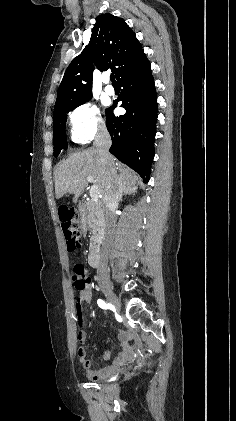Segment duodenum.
I'll use <instances>...</instances> for the list:
<instances>
[{
  "label": "duodenum",
  "mask_w": 236,
  "mask_h": 421,
  "mask_svg": "<svg viewBox=\"0 0 236 421\" xmlns=\"http://www.w3.org/2000/svg\"><path fill=\"white\" fill-rule=\"evenodd\" d=\"M83 211V204L80 203L77 207V212L79 214V216H81ZM89 263L92 267L97 268L100 265V255H99V251L96 248H93L90 253H89ZM123 345V353L121 355H119L114 363L109 366V367H105L99 370H94V371H89L88 372V376L90 378L93 379H98V378H105L107 376H110L112 374H114L116 372V370L126 362V360L128 359L129 356V350H128V345L126 344V342L122 343ZM106 357V356H105Z\"/></svg>",
  "instance_id": "duodenum-1"
}]
</instances>
